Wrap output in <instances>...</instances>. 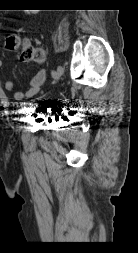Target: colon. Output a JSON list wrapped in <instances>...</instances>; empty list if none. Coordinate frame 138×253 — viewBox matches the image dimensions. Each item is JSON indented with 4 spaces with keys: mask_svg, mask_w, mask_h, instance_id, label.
I'll return each mask as SVG.
<instances>
[{
    "mask_svg": "<svg viewBox=\"0 0 138 253\" xmlns=\"http://www.w3.org/2000/svg\"><path fill=\"white\" fill-rule=\"evenodd\" d=\"M19 45V41L16 37L11 36L7 40V46L11 49L17 47ZM22 59L25 61H37L40 62L43 60V52L41 50L32 49L29 46L23 47L22 44Z\"/></svg>",
    "mask_w": 138,
    "mask_h": 253,
    "instance_id": "5ec220e1",
    "label": "colon"
}]
</instances>
